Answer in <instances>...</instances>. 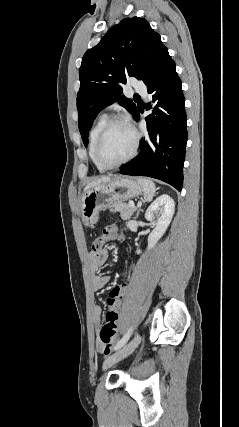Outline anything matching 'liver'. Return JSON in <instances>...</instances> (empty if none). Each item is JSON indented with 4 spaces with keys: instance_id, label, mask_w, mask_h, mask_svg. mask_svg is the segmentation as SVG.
<instances>
[{
    "instance_id": "liver-1",
    "label": "liver",
    "mask_w": 239,
    "mask_h": 427,
    "mask_svg": "<svg viewBox=\"0 0 239 427\" xmlns=\"http://www.w3.org/2000/svg\"><path fill=\"white\" fill-rule=\"evenodd\" d=\"M110 181H111L110 177H102L101 179L94 180V181L90 182L89 184H87V186L84 189V192L91 189L92 187L100 185L101 183H108Z\"/></svg>"
}]
</instances>
